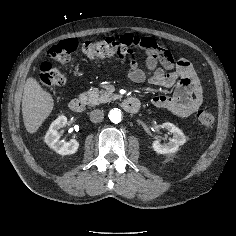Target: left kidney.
Listing matches in <instances>:
<instances>
[{
	"mask_svg": "<svg viewBox=\"0 0 236 236\" xmlns=\"http://www.w3.org/2000/svg\"><path fill=\"white\" fill-rule=\"evenodd\" d=\"M162 127L173 134V137L168 143L162 144L159 140H155L152 143L153 150L158 154H170L178 151L179 146L186 142V136L178 127L174 124L166 122L162 124Z\"/></svg>",
	"mask_w": 236,
	"mask_h": 236,
	"instance_id": "1",
	"label": "left kidney"
}]
</instances>
